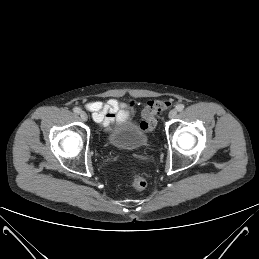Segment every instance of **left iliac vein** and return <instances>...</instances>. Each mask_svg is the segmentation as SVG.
Listing matches in <instances>:
<instances>
[{
	"instance_id": "obj_1",
	"label": "left iliac vein",
	"mask_w": 259,
	"mask_h": 259,
	"mask_svg": "<svg viewBox=\"0 0 259 259\" xmlns=\"http://www.w3.org/2000/svg\"><path fill=\"white\" fill-rule=\"evenodd\" d=\"M169 118L170 119H174L176 116H177V110L176 109H172L170 112H169Z\"/></svg>"
}]
</instances>
